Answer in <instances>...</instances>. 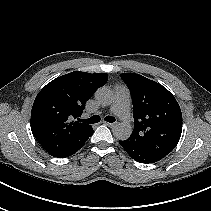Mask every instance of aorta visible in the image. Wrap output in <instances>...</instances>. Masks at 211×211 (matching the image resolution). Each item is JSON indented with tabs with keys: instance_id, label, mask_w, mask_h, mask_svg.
Here are the masks:
<instances>
[{
	"instance_id": "1",
	"label": "aorta",
	"mask_w": 211,
	"mask_h": 211,
	"mask_svg": "<svg viewBox=\"0 0 211 211\" xmlns=\"http://www.w3.org/2000/svg\"><path fill=\"white\" fill-rule=\"evenodd\" d=\"M95 98L102 104H110L113 100V93L106 87L99 88L96 91ZM132 128L129 124L118 123L113 130L114 136L119 140H126L130 137Z\"/></svg>"
}]
</instances>
